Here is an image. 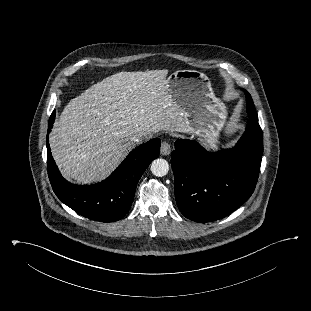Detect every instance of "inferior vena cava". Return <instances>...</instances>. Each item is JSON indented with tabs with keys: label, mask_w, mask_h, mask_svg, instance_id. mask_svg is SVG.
<instances>
[{
	"label": "inferior vena cava",
	"mask_w": 311,
	"mask_h": 311,
	"mask_svg": "<svg viewBox=\"0 0 311 311\" xmlns=\"http://www.w3.org/2000/svg\"><path fill=\"white\" fill-rule=\"evenodd\" d=\"M144 138H146V137L143 136V135H134V136L132 137V141H134V142H140V141H142Z\"/></svg>",
	"instance_id": "inferior-vena-cava-1"
}]
</instances>
